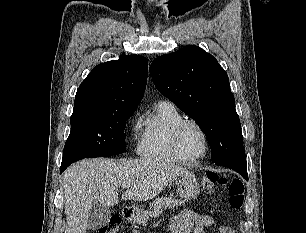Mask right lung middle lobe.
<instances>
[{
    "label": "right lung middle lobe",
    "instance_id": "obj_1",
    "mask_svg": "<svg viewBox=\"0 0 306 233\" xmlns=\"http://www.w3.org/2000/svg\"><path fill=\"white\" fill-rule=\"evenodd\" d=\"M135 110L74 106L62 164L70 165L82 158L123 153L126 121Z\"/></svg>",
    "mask_w": 306,
    "mask_h": 233
}]
</instances>
